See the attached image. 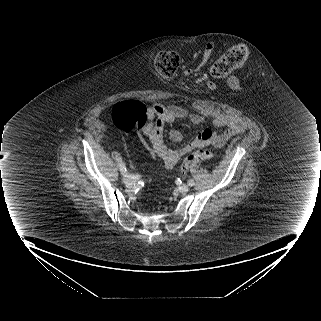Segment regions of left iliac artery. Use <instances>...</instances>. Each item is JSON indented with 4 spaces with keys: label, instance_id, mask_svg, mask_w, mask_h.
Instances as JSON below:
<instances>
[{
    "label": "left iliac artery",
    "instance_id": "1",
    "mask_svg": "<svg viewBox=\"0 0 321 321\" xmlns=\"http://www.w3.org/2000/svg\"><path fill=\"white\" fill-rule=\"evenodd\" d=\"M188 185L189 186H193L194 185V180L193 179L188 180Z\"/></svg>",
    "mask_w": 321,
    "mask_h": 321
}]
</instances>
